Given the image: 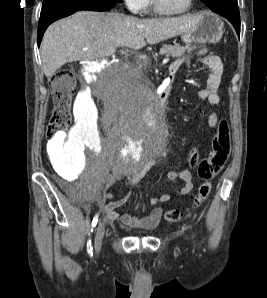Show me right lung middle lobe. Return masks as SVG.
<instances>
[{"mask_svg":"<svg viewBox=\"0 0 267 298\" xmlns=\"http://www.w3.org/2000/svg\"><path fill=\"white\" fill-rule=\"evenodd\" d=\"M50 1H51V0H44L43 4H46V3L50 2ZM115 1H117V2H121V0H115Z\"/></svg>","mask_w":267,"mask_h":298,"instance_id":"obj_1","label":"right lung middle lobe"}]
</instances>
